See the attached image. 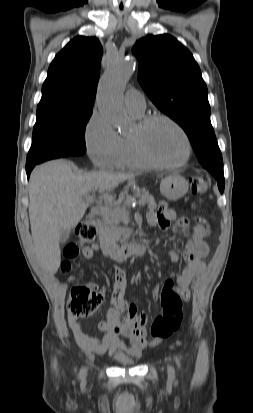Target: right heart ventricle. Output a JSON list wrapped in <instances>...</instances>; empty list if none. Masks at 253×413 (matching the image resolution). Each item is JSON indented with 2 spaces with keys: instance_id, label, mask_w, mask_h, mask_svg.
<instances>
[{
  "instance_id": "right-heart-ventricle-1",
  "label": "right heart ventricle",
  "mask_w": 253,
  "mask_h": 413,
  "mask_svg": "<svg viewBox=\"0 0 253 413\" xmlns=\"http://www.w3.org/2000/svg\"><path fill=\"white\" fill-rule=\"evenodd\" d=\"M135 119L141 120L144 115L130 112ZM121 144L119 152L115 158L113 166L116 168H148L147 165L139 156L132 136H120Z\"/></svg>"
}]
</instances>
